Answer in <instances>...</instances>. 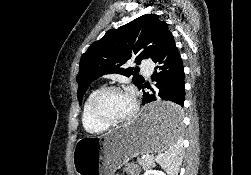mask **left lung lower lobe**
I'll list each match as a JSON object with an SVG mask.
<instances>
[{
    "instance_id": "0a47b994",
    "label": "left lung lower lobe",
    "mask_w": 251,
    "mask_h": 175,
    "mask_svg": "<svg viewBox=\"0 0 251 175\" xmlns=\"http://www.w3.org/2000/svg\"><path fill=\"white\" fill-rule=\"evenodd\" d=\"M152 60L158 64L151 76L154 81L150 92L143 93V105L157 100L168 101V104L156 106L145 111L142 121L153 125H172L183 118L184 105V67L180 53L170 32L166 41ZM145 86L142 85L141 88ZM140 88V89H141Z\"/></svg>"
}]
</instances>
